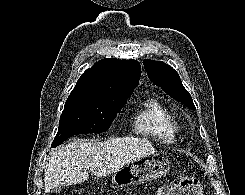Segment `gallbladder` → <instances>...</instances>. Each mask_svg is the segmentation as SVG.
I'll use <instances>...</instances> for the list:
<instances>
[{
  "mask_svg": "<svg viewBox=\"0 0 245 195\" xmlns=\"http://www.w3.org/2000/svg\"><path fill=\"white\" fill-rule=\"evenodd\" d=\"M61 190H62L61 187H56V188L53 189V192L59 193Z\"/></svg>",
  "mask_w": 245,
  "mask_h": 195,
  "instance_id": "bac80fb5",
  "label": "gallbladder"
}]
</instances>
